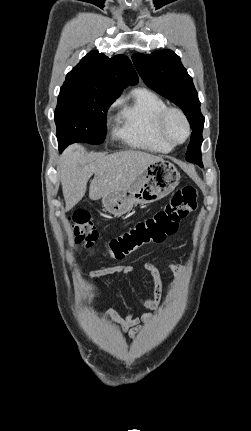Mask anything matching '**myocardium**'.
I'll return each mask as SVG.
<instances>
[{
    "label": "myocardium",
    "mask_w": 251,
    "mask_h": 431,
    "mask_svg": "<svg viewBox=\"0 0 251 431\" xmlns=\"http://www.w3.org/2000/svg\"><path fill=\"white\" fill-rule=\"evenodd\" d=\"M172 113L178 114L182 118V120L185 124V127H186V136H185L184 140H182L180 142L173 141L168 136L167 131H166V122H167L169 115ZM156 127H157V132H158L160 138L165 143H167L168 145H170L172 147H176V146L184 144L189 139V137L191 135V125H190L189 119H188L187 115L184 113V111L178 107H166L164 110H162L161 113L159 114L158 118H157Z\"/></svg>",
    "instance_id": "myocardium-1"
}]
</instances>
